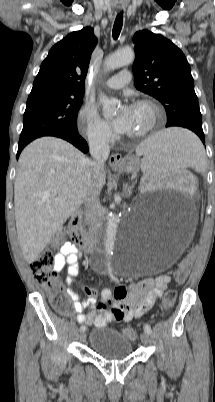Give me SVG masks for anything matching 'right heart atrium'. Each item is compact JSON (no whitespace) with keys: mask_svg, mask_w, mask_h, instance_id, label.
Returning <instances> with one entry per match:
<instances>
[{"mask_svg":"<svg viewBox=\"0 0 215 402\" xmlns=\"http://www.w3.org/2000/svg\"><path fill=\"white\" fill-rule=\"evenodd\" d=\"M78 120L81 130L90 142L104 145L112 140L113 134L110 127L92 107H83L79 112Z\"/></svg>","mask_w":215,"mask_h":402,"instance_id":"d8ad5b80","label":"right heart atrium"}]
</instances>
